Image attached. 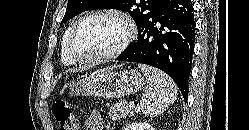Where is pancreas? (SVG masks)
<instances>
[{
    "instance_id": "cf45deb5",
    "label": "pancreas",
    "mask_w": 249,
    "mask_h": 130,
    "mask_svg": "<svg viewBox=\"0 0 249 130\" xmlns=\"http://www.w3.org/2000/svg\"><path fill=\"white\" fill-rule=\"evenodd\" d=\"M133 113H134L133 109H131L127 106V102L119 101L110 107L108 114H109L111 119L118 120L120 118L132 116Z\"/></svg>"
}]
</instances>
